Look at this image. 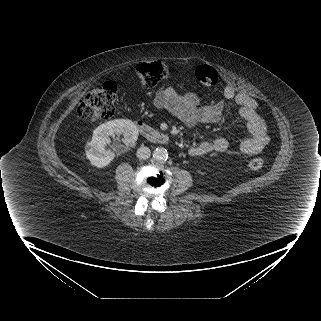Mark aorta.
I'll return each mask as SVG.
<instances>
[{
	"mask_svg": "<svg viewBox=\"0 0 321 321\" xmlns=\"http://www.w3.org/2000/svg\"><path fill=\"white\" fill-rule=\"evenodd\" d=\"M153 158L159 162L166 161L168 158V152L163 147H157L153 152Z\"/></svg>",
	"mask_w": 321,
	"mask_h": 321,
	"instance_id": "1",
	"label": "aorta"
}]
</instances>
